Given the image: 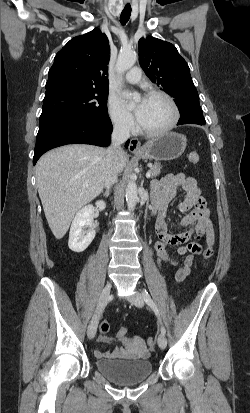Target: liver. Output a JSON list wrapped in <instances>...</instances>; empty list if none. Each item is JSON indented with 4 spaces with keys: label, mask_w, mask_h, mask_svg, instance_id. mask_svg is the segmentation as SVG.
Instances as JSON below:
<instances>
[{
    "label": "liver",
    "mask_w": 250,
    "mask_h": 413,
    "mask_svg": "<svg viewBox=\"0 0 250 413\" xmlns=\"http://www.w3.org/2000/svg\"><path fill=\"white\" fill-rule=\"evenodd\" d=\"M127 161L122 150L115 160L119 172ZM106 163V149L84 144L53 149L38 160V193L56 239L66 234L75 213L102 192Z\"/></svg>",
    "instance_id": "liver-1"
}]
</instances>
